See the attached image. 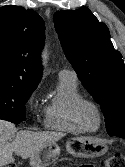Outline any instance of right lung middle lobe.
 <instances>
[{"mask_svg":"<svg viewBox=\"0 0 125 167\" xmlns=\"http://www.w3.org/2000/svg\"><path fill=\"white\" fill-rule=\"evenodd\" d=\"M34 90L0 85V117L15 124L25 121V103Z\"/></svg>","mask_w":125,"mask_h":167,"instance_id":"right-lung-middle-lobe-1","label":"right lung middle lobe"}]
</instances>
